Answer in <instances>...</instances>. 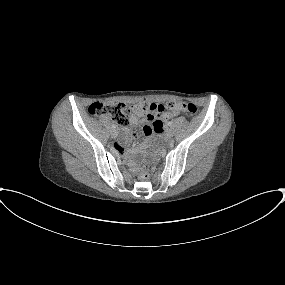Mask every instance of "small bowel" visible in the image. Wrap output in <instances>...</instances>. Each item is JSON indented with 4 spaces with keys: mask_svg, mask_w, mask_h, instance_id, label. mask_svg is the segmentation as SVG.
Masks as SVG:
<instances>
[{
    "mask_svg": "<svg viewBox=\"0 0 285 285\" xmlns=\"http://www.w3.org/2000/svg\"><path fill=\"white\" fill-rule=\"evenodd\" d=\"M150 106V112L143 117L133 116L130 119V126L125 130V139L115 143L114 148L117 152H119L122 156L126 154L125 145L133 139L138 138V133L135 131V128L139 124L143 125V133L147 137H151L154 132H157L162 126V120L156 119L152 115L155 113L163 114L165 112V107L163 104H158L155 102H148Z\"/></svg>",
    "mask_w": 285,
    "mask_h": 285,
    "instance_id": "c3829d8e",
    "label": "small bowel"
}]
</instances>
